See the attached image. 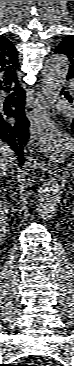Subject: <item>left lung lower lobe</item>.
I'll return each mask as SVG.
<instances>
[{
	"label": "left lung lower lobe",
	"mask_w": 74,
	"mask_h": 366,
	"mask_svg": "<svg viewBox=\"0 0 74 366\" xmlns=\"http://www.w3.org/2000/svg\"><path fill=\"white\" fill-rule=\"evenodd\" d=\"M67 79H73V81H74V76L73 75H70V74H68V76H67ZM74 92V91H73ZM65 97L73 104V107H74V93L72 94V98H71V96L69 95V93L68 92H65ZM72 127L74 128V119H73V121H72Z\"/></svg>",
	"instance_id": "obj_1"
}]
</instances>
